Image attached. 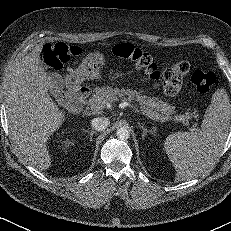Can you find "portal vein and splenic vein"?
Masks as SVG:
<instances>
[{
	"label": "portal vein and splenic vein",
	"instance_id": "obj_1",
	"mask_svg": "<svg viewBox=\"0 0 231 231\" xmlns=\"http://www.w3.org/2000/svg\"><path fill=\"white\" fill-rule=\"evenodd\" d=\"M121 106L122 107H132L133 109L137 110V111H140L142 114L148 116L149 118H152L151 116H149L148 114L145 113V111L143 110H140L138 107H136L135 105L131 104V103H128V102H123L121 103ZM89 108L91 110H94V111H98V110H101L103 109V106L99 103V102H95V103H91L89 104ZM153 119V118H152ZM178 121L184 123L185 125H188L189 126V123H188V120L186 117H184L183 115L182 116H179L177 118ZM192 131H194L195 129L194 128H191Z\"/></svg>",
	"mask_w": 231,
	"mask_h": 231
}]
</instances>
